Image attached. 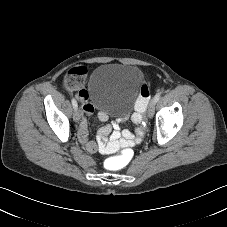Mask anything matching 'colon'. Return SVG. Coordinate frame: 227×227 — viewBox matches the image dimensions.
Returning a JSON list of instances; mask_svg holds the SVG:
<instances>
[{
    "label": "colon",
    "mask_w": 227,
    "mask_h": 227,
    "mask_svg": "<svg viewBox=\"0 0 227 227\" xmlns=\"http://www.w3.org/2000/svg\"><path fill=\"white\" fill-rule=\"evenodd\" d=\"M80 75L78 74H71L67 75L64 79V83L66 86H68L71 89H77L80 85ZM149 94H150V87L148 84H143L141 87V92L139 99L135 105V116L134 120L137 123H140L143 120L144 114L142 111L143 109H146L147 104H148V99H149ZM112 163L116 167H124L127 165L130 161V157L127 151L122 150L120 151L117 155L112 157L111 159Z\"/></svg>",
    "instance_id": "1"
}]
</instances>
